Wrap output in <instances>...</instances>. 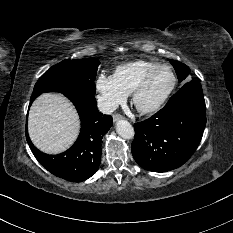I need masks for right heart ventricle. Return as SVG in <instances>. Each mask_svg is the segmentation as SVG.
<instances>
[{"label": "right heart ventricle", "instance_id": "1", "mask_svg": "<svg viewBox=\"0 0 233 233\" xmlns=\"http://www.w3.org/2000/svg\"><path fill=\"white\" fill-rule=\"evenodd\" d=\"M159 66V64L146 60H137L119 65L114 73V78L121 88L130 94L144 78V76Z\"/></svg>", "mask_w": 233, "mask_h": 233}]
</instances>
